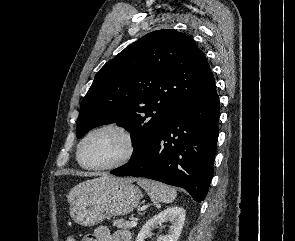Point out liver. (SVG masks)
Wrapping results in <instances>:
<instances>
[{
    "mask_svg": "<svg viewBox=\"0 0 295 241\" xmlns=\"http://www.w3.org/2000/svg\"><path fill=\"white\" fill-rule=\"evenodd\" d=\"M115 180H118V178H114V177H112V176H110L108 174H102V176L99 177V178H94V179H91V180L81 182L78 185L74 186L70 190L69 194L67 195L68 202L71 203L76 196L80 195L83 192H86V191L90 190L91 188H95L98 185L105 184V183H110V182H113ZM128 181L131 182L132 180L128 179Z\"/></svg>",
    "mask_w": 295,
    "mask_h": 241,
    "instance_id": "liver-1",
    "label": "liver"
}]
</instances>
